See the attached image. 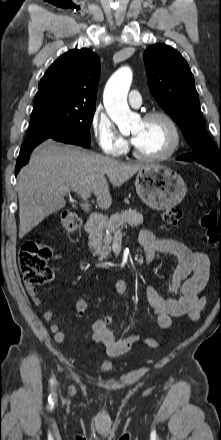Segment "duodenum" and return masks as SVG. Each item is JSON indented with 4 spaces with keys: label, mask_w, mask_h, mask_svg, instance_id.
Returning <instances> with one entry per match:
<instances>
[{
    "label": "duodenum",
    "mask_w": 221,
    "mask_h": 440,
    "mask_svg": "<svg viewBox=\"0 0 221 440\" xmlns=\"http://www.w3.org/2000/svg\"><path fill=\"white\" fill-rule=\"evenodd\" d=\"M103 217L99 214H91L85 224V230L86 232H92L95 230L100 223L102 222Z\"/></svg>",
    "instance_id": "410a0bca"
}]
</instances>
